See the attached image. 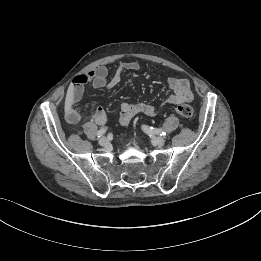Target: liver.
Returning a JSON list of instances; mask_svg holds the SVG:
<instances>
[{
  "mask_svg": "<svg viewBox=\"0 0 261 261\" xmlns=\"http://www.w3.org/2000/svg\"><path fill=\"white\" fill-rule=\"evenodd\" d=\"M73 102H74V85L70 84L65 99V111L67 113L70 112Z\"/></svg>",
  "mask_w": 261,
  "mask_h": 261,
  "instance_id": "1",
  "label": "liver"
}]
</instances>
